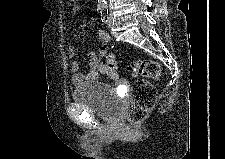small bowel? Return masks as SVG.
Instances as JSON below:
<instances>
[{"label":"small bowel","mask_w":225,"mask_h":159,"mask_svg":"<svg viewBox=\"0 0 225 159\" xmlns=\"http://www.w3.org/2000/svg\"><path fill=\"white\" fill-rule=\"evenodd\" d=\"M78 8L77 6L72 7V13L77 12ZM98 37L100 41L102 42L103 46L105 47L109 41L110 37L107 32L103 30H98ZM67 55L71 59L69 68L72 72V82L74 85H81L85 82H90L99 79L100 76L106 75L111 78H114L115 76H111L108 73L106 65L103 63L101 56L97 55L95 53H91L89 55V65L91 67V70L87 73L80 72V65L77 60L74 59L75 56V49L72 45H69L67 48Z\"/></svg>","instance_id":"obj_1"}]
</instances>
